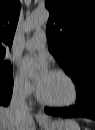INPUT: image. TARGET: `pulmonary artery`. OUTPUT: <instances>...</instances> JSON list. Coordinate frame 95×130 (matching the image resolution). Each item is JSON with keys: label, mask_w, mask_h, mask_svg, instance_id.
I'll list each match as a JSON object with an SVG mask.
<instances>
[{"label": "pulmonary artery", "mask_w": 95, "mask_h": 130, "mask_svg": "<svg viewBox=\"0 0 95 130\" xmlns=\"http://www.w3.org/2000/svg\"><path fill=\"white\" fill-rule=\"evenodd\" d=\"M46 44V34L43 31H37L32 38L27 40L23 47L27 50H38L44 48Z\"/></svg>", "instance_id": "pulmonary-artery-1"}]
</instances>
